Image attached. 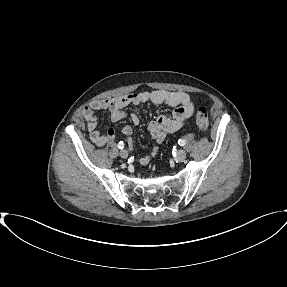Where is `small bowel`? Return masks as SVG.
Listing matches in <instances>:
<instances>
[{
  "label": "small bowel",
  "instance_id": "c3829d8e",
  "mask_svg": "<svg viewBox=\"0 0 287 287\" xmlns=\"http://www.w3.org/2000/svg\"><path fill=\"white\" fill-rule=\"evenodd\" d=\"M148 102L155 105L165 104L175 108L171 114L159 115L148 124V130L158 144L165 139L167 134L180 130L193 114V101L191 97L184 92L154 90L94 100L82 111V116L86 121L91 141L97 146H104L112 142L116 137V132L112 128L104 133L99 131L98 120L95 114L96 111L108 110L111 120L118 122L127 116L124 108L129 105L142 106ZM130 118L135 125L140 121L136 113H131ZM121 133L124 136L131 135V126L126 125L122 127ZM127 144L131 145L130 139H127ZM158 151V147H154L151 155L138 159V163L143 166L149 164L158 154Z\"/></svg>",
  "mask_w": 287,
  "mask_h": 287
}]
</instances>
